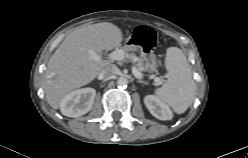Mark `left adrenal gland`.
Returning <instances> with one entry per match:
<instances>
[{
  "mask_svg": "<svg viewBox=\"0 0 248 158\" xmlns=\"http://www.w3.org/2000/svg\"><path fill=\"white\" fill-rule=\"evenodd\" d=\"M138 83H142V84H147V82L143 81V80H137Z\"/></svg>",
  "mask_w": 248,
  "mask_h": 158,
  "instance_id": "obj_1",
  "label": "left adrenal gland"
}]
</instances>
